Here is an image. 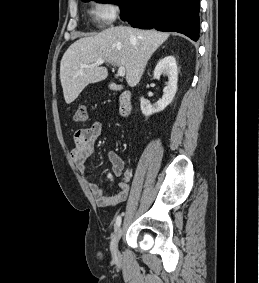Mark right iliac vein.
Segmentation results:
<instances>
[{
    "instance_id": "1",
    "label": "right iliac vein",
    "mask_w": 259,
    "mask_h": 283,
    "mask_svg": "<svg viewBox=\"0 0 259 283\" xmlns=\"http://www.w3.org/2000/svg\"><path fill=\"white\" fill-rule=\"evenodd\" d=\"M122 233H123V230L122 228L120 227L116 233L114 234L112 240H111V244H110V249H111V253H112V256L115 258V259H118L119 256H120V252H119V249H118V243H119V240L122 236Z\"/></svg>"
}]
</instances>
